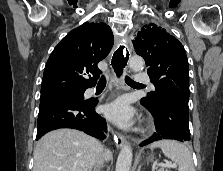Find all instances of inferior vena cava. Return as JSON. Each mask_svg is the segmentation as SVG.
Masks as SVG:
<instances>
[{
    "label": "inferior vena cava",
    "instance_id": "1",
    "mask_svg": "<svg viewBox=\"0 0 223 171\" xmlns=\"http://www.w3.org/2000/svg\"><path fill=\"white\" fill-rule=\"evenodd\" d=\"M104 153H103V146L100 145L98 148V155L96 158V162H95V166L96 167H102L103 166V162H104Z\"/></svg>",
    "mask_w": 223,
    "mask_h": 171
}]
</instances>
